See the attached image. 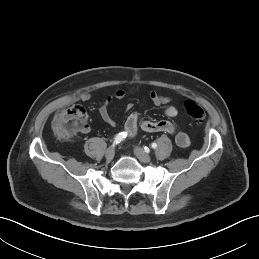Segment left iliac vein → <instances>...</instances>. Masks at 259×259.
I'll return each mask as SVG.
<instances>
[{
    "mask_svg": "<svg viewBox=\"0 0 259 259\" xmlns=\"http://www.w3.org/2000/svg\"><path fill=\"white\" fill-rule=\"evenodd\" d=\"M134 153L141 162L149 163L151 161V156L141 147H135Z\"/></svg>",
    "mask_w": 259,
    "mask_h": 259,
    "instance_id": "obj_1",
    "label": "left iliac vein"
}]
</instances>
